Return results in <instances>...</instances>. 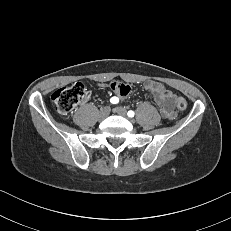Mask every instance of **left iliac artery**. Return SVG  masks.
Returning a JSON list of instances; mask_svg holds the SVG:
<instances>
[{
    "label": "left iliac artery",
    "instance_id": "left-iliac-artery-1",
    "mask_svg": "<svg viewBox=\"0 0 231 231\" xmlns=\"http://www.w3.org/2000/svg\"><path fill=\"white\" fill-rule=\"evenodd\" d=\"M128 116L129 117H133L134 116V112L132 110L128 111Z\"/></svg>",
    "mask_w": 231,
    "mask_h": 231
}]
</instances>
